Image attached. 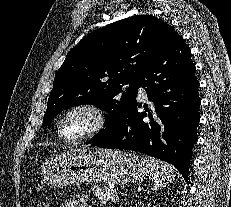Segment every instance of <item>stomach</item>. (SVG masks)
Returning <instances> with one entry per match:
<instances>
[{"label": "stomach", "mask_w": 231, "mask_h": 207, "mask_svg": "<svg viewBox=\"0 0 231 207\" xmlns=\"http://www.w3.org/2000/svg\"><path fill=\"white\" fill-rule=\"evenodd\" d=\"M145 160L134 153L120 150H71L55 156L42 172L43 182L50 187L86 183H140L149 174Z\"/></svg>", "instance_id": "1"}]
</instances>
